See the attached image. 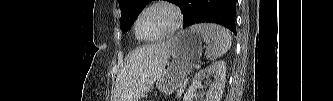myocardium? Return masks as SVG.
<instances>
[{"label": "myocardium", "mask_w": 333, "mask_h": 101, "mask_svg": "<svg viewBox=\"0 0 333 101\" xmlns=\"http://www.w3.org/2000/svg\"><path fill=\"white\" fill-rule=\"evenodd\" d=\"M154 8H166V9L170 10L175 16V23L169 31H167L166 33H164L162 35H159L154 38H144L140 34V31H139V22H140L141 17L146 12H148L149 10H152ZM182 23H183V13L177 5H175L171 2H167V1H159V2H154L151 5L147 6L137 15V17L135 19V23H134V30H135L136 36L140 40L145 41V42H153V41H158V40H161V39H164V38H167V37L173 35L180 29V27L182 26Z\"/></svg>", "instance_id": "myocardium-1"}]
</instances>
